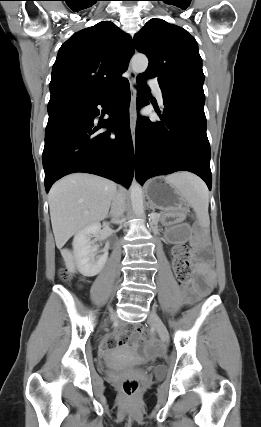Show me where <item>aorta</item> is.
Instances as JSON below:
<instances>
[{
  "instance_id": "762f6f07",
  "label": "aorta",
  "mask_w": 261,
  "mask_h": 427,
  "mask_svg": "<svg viewBox=\"0 0 261 427\" xmlns=\"http://www.w3.org/2000/svg\"><path fill=\"white\" fill-rule=\"evenodd\" d=\"M148 58L144 54H136L132 57L131 67L136 73H143L148 67ZM131 204L134 213L138 217L144 216L143 191L141 185L134 179L130 186Z\"/></svg>"
}]
</instances>
